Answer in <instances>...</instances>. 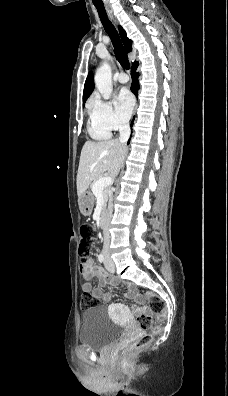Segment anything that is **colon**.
<instances>
[{
	"label": "colon",
	"instance_id": "1",
	"mask_svg": "<svg viewBox=\"0 0 228 396\" xmlns=\"http://www.w3.org/2000/svg\"><path fill=\"white\" fill-rule=\"evenodd\" d=\"M90 228L88 225H81L80 227V241H79V254L81 257V264L85 265L91 259L90 247L88 244V235ZM151 311L155 314L148 315L142 314L138 323L143 331L127 348L126 352L131 353L141 350L151 344L154 337L160 332L161 320L165 312V304L163 300L154 292L147 291L144 295ZM98 306V299L90 293H83L81 298V307L83 309H92Z\"/></svg>",
	"mask_w": 228,
	"mask_h": 396
}]
</instances>
